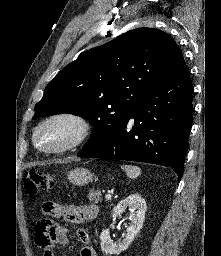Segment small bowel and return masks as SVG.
<instances>
[{
	"instance_id": "obj_1",
	"label": "small bowel",
	"mask_w": 221,
	"mask_h": 256,
	"mask_svg": "<svg viewBox=\"0 0 221 256\" xmlns=\"http://www.w3.org/2000/svg\"><path fill=\"white\" fill-rule=\"evenodd\" d=\"M43 213L49 217L62 218L68 224H80L94 220L98 213L96 205H61L52 202L43 204ZM67 229L49 218L41 219L35 228V243L42 249L43 256H55L54 246H66ZM78 239L84 244L80 256H97L90 245V236L84 229L76 231Z\"/></svg>"
}]
</instances>
